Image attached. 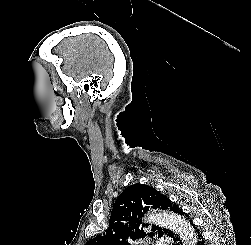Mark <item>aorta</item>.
Returning <instances> with one entry per match:
<instances>
[{"label": "aorta", "instance_id": "1", "mask_svg": "<svg viewBox=\"0 0 251 245\" xmlns=\"http://www.w3.org/2000/svg\"><path fill=\"white\" fill-rule=\"evenodd\" d=\"M148 222L156 223L167 227L179 234L183 242L187 245H193L194 233L189 222L183 219L178 214L168 212H157L148 215L146 218Z\"/></svg>", "mask_w": 251, "mask_h": 245}]
</instances>
